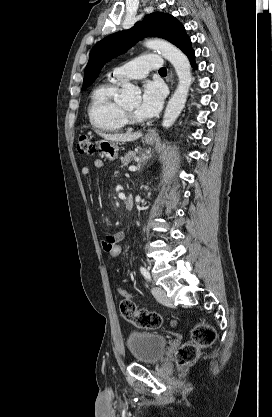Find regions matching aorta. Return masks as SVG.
<instances>
[{"mask_svg":"<svg viewBox=\"0 0 272 417\" xmlns=\"http://www.w3.org/2000/svg\"><path fill=\"white\" fill-rule=\"evenodd\" d=\"M144 45L160 52L174 66L179 78L177 89L172 95L166 107L162 126L169 128L180 115L187 100L189 88L192 81L191 66L187 56L171 43L161 39H149ZM140 89L130 82H124L120 95L121 102L138 104L141 100Z\"/></svg>","mask_w":272,"mask_h":417,"instance_id":"aorta-1","label":"aorta"}]
</instances>
